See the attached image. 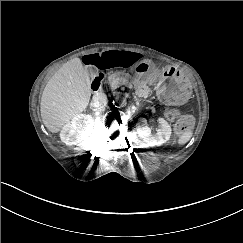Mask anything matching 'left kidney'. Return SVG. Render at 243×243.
<instances>
[{
	"label": "left kidney",
	"instance_id": "5707ae66",
	"mask_svg": "<svg viewBox=\"0 0 243 243\" xmlns=\"http://www.w3.org/2000/svg\"><path fill=\"white\" fill-rule=\"evenodd\" d=\"M158 123L160 124V128L155 134L151 133V129L146 125L145 119H142V124H137L138 136L149 147L161 146L170 139L171 126L164 118H159Z\"/></svg>",
	"mask_w": 243,
	"mask_h": 243
}]
</instances>
